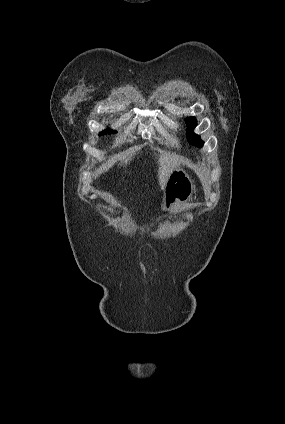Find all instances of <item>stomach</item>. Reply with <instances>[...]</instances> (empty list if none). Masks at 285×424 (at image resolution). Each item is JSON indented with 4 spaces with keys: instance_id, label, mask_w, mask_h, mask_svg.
<instances>
[{
    "instance_id": "stomach-1",
    "label": "stomach",
    "mask_w": 285,
    "mask_h": 424,
    "mask_svg": "<svg viewBox=\"0 0 285 424\" xmlns=\"http://www.w3.org/2000/svg\"><path fill=\"white\" fill-rule=\"evenodd\" d=\"M163 190L161 208L164 211H171L174 207L185 204L193 197L195 185L184 169L176 167L170 174Z\"/></svg>"
}]
</instances>
